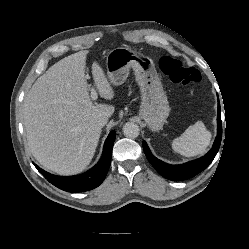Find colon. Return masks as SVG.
Returning <instances> with one entry per match:
<instances>
[{"label":"colon","instance_id":"obj_1","mask_svg":"<svg viewBox=\"0 0 249 249\" xmlns=\"http://www.w3.org/2000/svg\"><path fill=\"white\" fill-rule=\"evenodd\" d=\"M159 66L161 71L176 84L186 86L200 81V73L192 67H187L181 60L164 56L160 59Z\"/></svg>","mask_w":249,"mask_h":249}]
</instances>
